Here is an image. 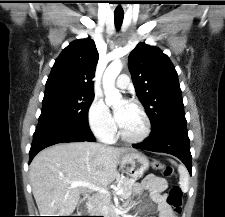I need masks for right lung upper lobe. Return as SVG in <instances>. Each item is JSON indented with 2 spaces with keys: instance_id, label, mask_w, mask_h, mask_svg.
<instances>
[{
  "instance_id": "1",
  "label": "right lung upper lobe",
  "mask_w": 225,
  "mask_h": 217,
  "mask_svg": "<svg viewBox=\"0 0 225 217\" xmlns=\"http://www.w3.org/2000/svg\"><path fill=\"white\" fill-rule=\"evenodd\" d=\"M99 54L91 38L71 42L56 59L45 93L94 94L93 81Z\"/></svg>"
}]
</instances>
